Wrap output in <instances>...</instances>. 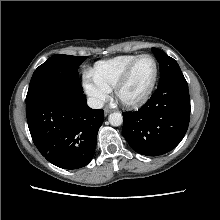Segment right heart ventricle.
Segmentation results:
<instances>
[{"mask_svg": "<svg viewBox=\"0 0 220 220\" xmlns=\"http://www.w3.org/2000/svg\"><path fill=\"white\" fill-rule=\"evenodd\" d=\"M138 56L139 55H122L99 61L94 66V76L100 83L111 90L123 76L129 65Z\"/></svg>", "mask_w": 220, "mask_h": 220, "instance_id": "e07e8e85", "label": "right heart ventricle"}]
</instances>
